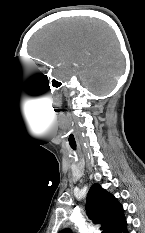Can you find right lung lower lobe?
Wrapping results in <instances>:
<instances>
[{
    "label": "right lung lower lobe",
    "mask_w": 145,
    "mask_h": 233,
    "mask_svg": "<svg viewBox=\"0 0 145 233\" xmlns=\"http://www.w3.org/2000/svg\"><path fill=\"white\" fill-rule=\"evenodd\" d=\"M127 223L126 220L124 219L117 227H115L111 233H128L127 231Z\"/></svg>",
    "instance_id": "right-lung-lower-lobe-1"
}]
</instances>
